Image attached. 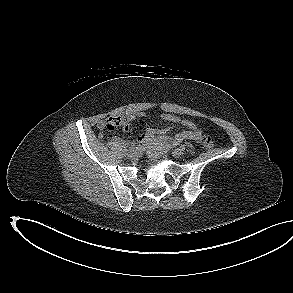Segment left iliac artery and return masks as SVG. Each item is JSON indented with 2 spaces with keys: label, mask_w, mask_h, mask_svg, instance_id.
<instances>
[{
  "label": "left iliac artery",
  "mask_w": 293,
  "mask_h": 293,
  "mask_svg": "<svg viewBox=\"0 0 293 293\" xmlns=\"http://www.w3.org/2000/svg\"><path fill=\"white\" fill-rule=\"evenodd\" d=\"M180 148H181L182 151L185 150V146L184 145H181Z\"/></svg>",
  "instance_id": "1"
}]
</instances>
